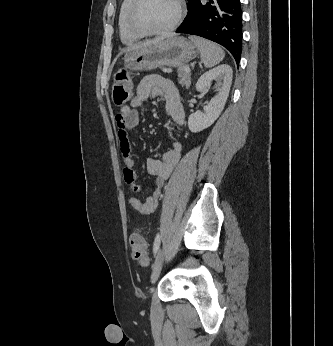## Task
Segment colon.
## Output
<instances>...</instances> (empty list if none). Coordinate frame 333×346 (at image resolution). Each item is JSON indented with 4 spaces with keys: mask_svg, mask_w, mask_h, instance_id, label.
<instances>
[{
    "mask_svg": "<svg viewBox=\"0 0 333 346\" xmlns=\"http://www.w3.org/2000/svg\"><path fill=\"white\" fill-rule=\"evenodd\" d=\"M132 85L126 70L119 71L114 79L112 87L113 101L116 105L122 106L128 102L131 96ZM130 248L133 258L141 265H147V243L144 236L135 232L130 236Z\"/></svg>",
    "mask_w": 333,
    "mask_h": 346,
    "instance_id": "obj_1",
    "label": "colon"
}]
</instances>
